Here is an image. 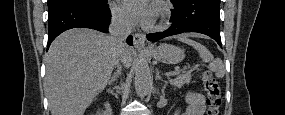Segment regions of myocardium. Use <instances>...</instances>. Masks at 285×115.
Wrapping results in <instances>:
<instances>
[{"instance_id": "myocardium-1", "label": "myocardium", "mask_w": 285, "mask_h": 115, "mask_svg": "<svg viewBox=\"0 0 285 115\" xmlns=\"http://www.w3.org/2000/svg\"><path fill=\"white\" fill-rule=\"evenodd\" d=\"M157 20L154 24L148 25L147 29L158 31L168 26L170 20V7L165 1H158L156 4Z\"/></svg>"}]
</instances>
